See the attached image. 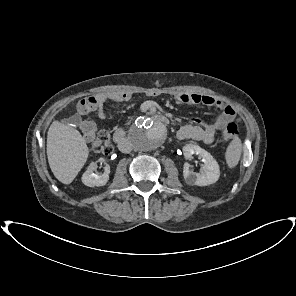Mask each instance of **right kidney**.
<instances>
[{"instance_id": "ca27d5eb", "label": "right kidney", "mask_w": 296, "mask_h": 296, "mask_svg": "<svg viewBox=\"0 0 296 296\" xmlns=\"http://www.w3.org/2000/svg\"><path fill=\"white\" fill-rule=\"evenodd\" d=\"M96 169L95 163H91L88 167L87 170L83 173L82 175V182L84 185L89 186V187H94V186H104L109 180V173L110 169L109 167H105V171L102 175H98L94 173V170Z\"/></svg>"}]
</instances>
